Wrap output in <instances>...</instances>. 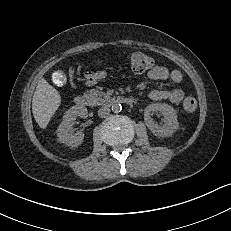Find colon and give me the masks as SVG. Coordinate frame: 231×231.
<instances>
[{
	"label": "colon",
	"mask_w": 231,
	"mask_h": 231,
	"mask_svg": "<svg viewBox=\"0 0 231 231\" xmlns=\"http://www.w3.org/2000/svg\"><path fill=\"white\" fill-rule=\"evenodd\" d=\"M127 63L135 73H144L154 65L152 57L141 52L130 53L127 56ZM183 108L186 112H194L197 109V100L191 96L186 97L183 101Z\"/></svg>",
	"instance_id": "5ec220e1"
}]
</instances>
